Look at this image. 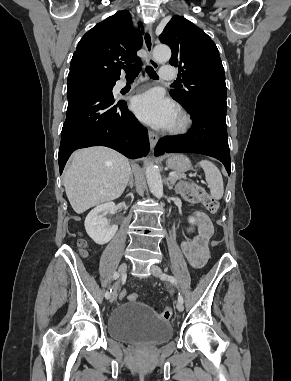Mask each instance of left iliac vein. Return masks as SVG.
Instances as JSON below:
<instances>
[{"label":"left iliac vein","instance_id":"4c4485c4","mask_svg":"<svg viewBox=\"0 0 291 381\" xmlns=\"http://www.w3.org/2000/svg\"><path fill=\"white\" fill-rule=\"evenodd\" d=\"M151 272L156 277H161V275H162V270L157 265H152L151 266ZM176 308H177L178 311L182 312L184 310L183 302L178 300L177 303H176Z\"/></svg>","mask_w":291,"mask_h":381}]
</instances>
